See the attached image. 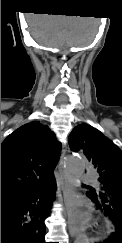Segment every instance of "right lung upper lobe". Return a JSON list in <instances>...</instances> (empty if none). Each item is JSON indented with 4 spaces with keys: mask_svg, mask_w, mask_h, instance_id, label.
I'll return each mask as SVG.
<instances>
[{
    "mask_svg": "<svg viewBox=\"0 0 122 243\" xmlns=\"http://www.w3.org/2000/svg\"><path fill=\"white\" fill-rule=\"evenodd\" d=\"M61 145L40 122L19 127L1 144V196L52 175Z\"/></svg>",
    "mask_w": 122,
    "mask_h": 243,
    "instance_id": "right-lung-upper-lobe-1",
    "label": "right lung upper lobe"
}]
</instances>
